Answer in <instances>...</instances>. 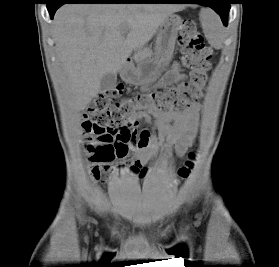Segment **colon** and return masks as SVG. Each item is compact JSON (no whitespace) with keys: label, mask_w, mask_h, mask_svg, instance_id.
Listing matches in <instances>:
<instances>
[{"label":"colon","mask_w":279,"mask_h":267,"mask_svg":"<svg viewBox=\"0 0 279 267\" xmlns=\"http://www.w3.org/2000/svg\"><path fill=\"white\" fill-rule=\"evenodd\" d=\"M179 44L182 51V65L189 70L191 78L148 93H137L120 98L124 92L121 84L102 92L84 111V149L89 161V169L94 179L113 169L115 159L124 158L132 143L143 144L147 134L137 136L129 119L146 111L166 112L181 110L190 106L201 95L207 81L206 71L212 58V50L205 45L204 37L193 20L185 19L180 26ZM195 155L178 170L179 180L191 174ZM136 163L132 168L138 169Z\"/></svg>","instance_id":"1"}]
</instances>
